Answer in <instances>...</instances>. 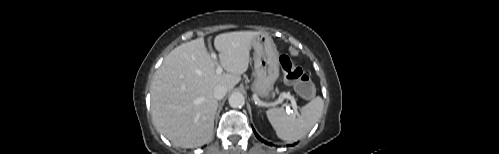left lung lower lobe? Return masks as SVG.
<instances>
[{
  "label": "left lung lower lobe",
  "instance_id": "obj_1",
  "mask_svg": "<svg viewBox=\"0 0 499 154\" xmlns=\"http://www.w3.org/2000/svg\"><path fill=\"white\" fill-rule=\"evenodd\" d=\"M253 131H254V133H255V135H256V137H257L258 139H260L262 142H264V143H266V144H268V145L270 144V143L266 142L265 140L261 139V138L258 136V134L256 133V131H255L254 129H253Z\"/></svg>",
  "mask_w": 499,
  "mask_h": 154
}]
</instances>
